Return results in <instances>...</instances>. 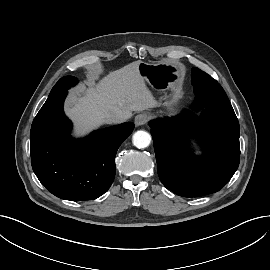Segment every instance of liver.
<instances>
[{
	"label": "liver",
	"mask_w": 270,
	"mask_h": 270,
	"mask_svg": "<svg viewBox=\"0 0 270 270\" xmlns=\"http://www.w3.org/2000/svg\"><path fill=\"white\" fill-rule=\"evenodd\" d=\"M139 63L135 61L110 72L97 84L72 94L66 113L76 123L78 133L108 123L106 118L110 113L121 112L130 118L133 111L159 105L139 73Z\"/></svg>",
	"instance_id": "6515ba94"
}]
</instances>
